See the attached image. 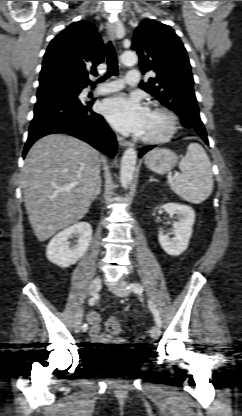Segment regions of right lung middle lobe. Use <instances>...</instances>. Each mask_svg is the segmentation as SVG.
<instances>
[{"mask_svg": "<svg viewBox=\"0 0 242 416\" xmlns=\"http://www.w3.org/2000/svg\"><path fill=\"white\" fill-rule=\"evenodd\" d=\"M81 90L78 89H62L59 90L58 92H56L53 95L50 96H54V95H67V96H71V97H76L78 96V94L80 93Z\"/></svg>", "mask_w": 242, "mask_h": 416, "instance_id": "dd1d6c3e", "label": "right lung middle lobe"}]
</instances>
